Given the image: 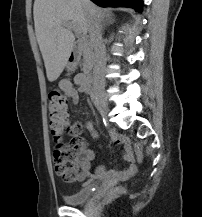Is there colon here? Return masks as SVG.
<instances>
[{"label":"colon","mask_w":202,"mask_h":217,"mask_svg":"<svg viewBox=\"0 0 202 217\" xmlns=\"http://www.w3.org/2000/svg\"><path fill=\"white\" fill-rule=\"evenodd\" d=\"M49 125L52 131L55 147L53 158L56 173L65 181H75L82 173V154L85 143L82 138L71 134L69 140L64 141L62 135L68 131L67 97L57 90L48 95Z\"/></svg>","instance_id":"colon-1"}]
</instances>
